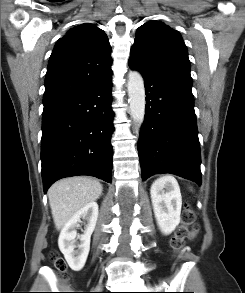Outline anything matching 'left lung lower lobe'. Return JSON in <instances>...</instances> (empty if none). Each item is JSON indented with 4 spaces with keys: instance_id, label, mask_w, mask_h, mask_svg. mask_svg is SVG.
I'll return each mask as SVG.
<instances>
[{
    "instance_id": "obj_1",
    "label": "left lung lower lobe",
    "mask_w": 245,
    "mask_h": 293,
    "mask_svg": "<svg viewBox=\"0 0 245 293\" xmlns=\"http://www.w3.org/2000/svg\"><path fill=\"white\" fill-rule=\"evenodd\" d=\"M146 91L145 120L138 142L142 179L171 173L201 184L200 146L191 86L129 59Z\"/></svg>"
}]
</instances>
